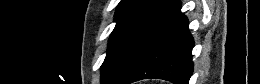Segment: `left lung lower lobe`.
Masks as SVG:
<instances>
[{"mask_svg":"<svg viewBox=\"0 0 260 84\" xmlns=\"http://www.w3.org/2000/svg\"><path fill=\"white\" fill-rule=\"evenodd\" d=\"M193 45L180 1L161 0L124 46L103 84L147 78L188 84Z\"/></svg>","mask_w":260,"mask_h":84,"instance_id":"0a47b994","label":"left lung lower lobe"}]
</instances>
